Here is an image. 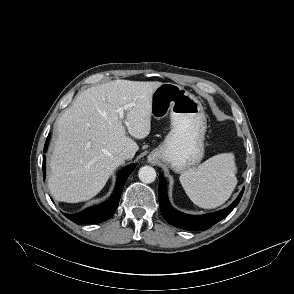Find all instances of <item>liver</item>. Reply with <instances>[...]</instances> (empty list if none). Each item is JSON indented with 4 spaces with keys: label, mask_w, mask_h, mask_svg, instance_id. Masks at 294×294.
Instances as JSON below:
<instances>
[{
    "label": "liver",
    "mask_w": 294,
    "mask_h": 294,
    "mask_svg": "<svg viewBox=\"0 0 294 294\" xmlns=\"http://www.w3.org/2000/svg\"><path fill=\"white\" fill-rule=\"evenodd\" d=\"M162 83L115 80L83 91L56 121L57 139L50 157L48 188L68 203L97 195L114 170L124 163L119 154L139 149L136 139L151 130V95ZM127 104L121 118L118 109Z\"/></svg>",
    "instance_id": "liver-1"
}]
</instances>
